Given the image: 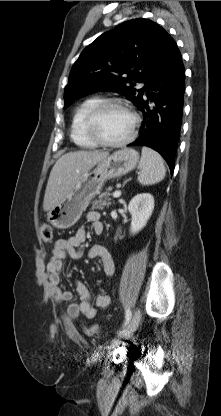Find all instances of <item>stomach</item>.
<instances>
[{"instance_id": "1", "label": "stomach", "mask_w": 221, "mask_h": 416, "mask_svg": "<svg viewBox=\"0 0 221 416\" xmlns=\"http://www.w3.org/2000/svg\"><path fill=\"white\" fill-rule=\"evenodd\" d=\"M139 154L124 148L98 162L92 171H87L73 186L66 197L48 215V222L57 229L72 227L86 210L90 201L100 193L105 181L124 175L135 168Z\"/></svg>"}]
</instances>
